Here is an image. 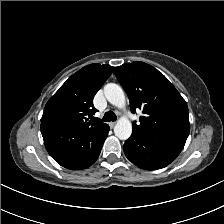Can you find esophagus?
<instances>
[{
	"label": "esophagus",
	"mask_w": 224,
	"mask_h": 224,
	"mask_svg": "<svg viewBox=\"0 0 224 224\" xmlns=\"http://www.w3.org/2000/svg\"><path fill=\"white\" fill-rule=\"evenodd\" d=\"M115 124H116V122H109V126H110L111 128H113V127L115 126Z\"/></svg>",
	"instance_id": "1"
}]
</instances>
